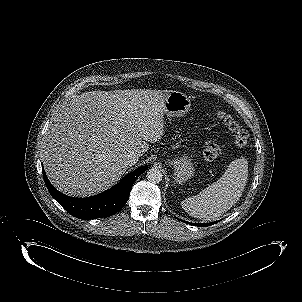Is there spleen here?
Wrapping results in <instances>:
<instances>
[{
  "label": "spleen",
  "instance_id": "obj_1",
  "mask_svg": "<svg viewBox=\"0 0 302 302\" xmlns=\"http://www.w3.org/2000/svg\"><path fill=\"white\" fill-rule=\"evenodd\" d=\"M247 161H232L216 182L198 195L181 201L182 208L192 217L212 221L228 211L242 196L247 183Z\"/></svg>",
  "mask_w": 302,
  "mask_h": 302
}]
</instances>
